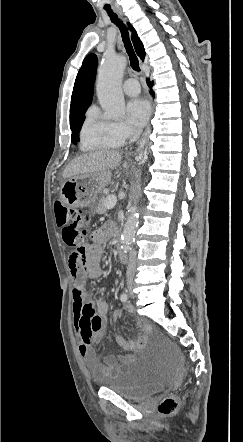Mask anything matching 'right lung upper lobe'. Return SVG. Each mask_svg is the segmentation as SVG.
<instances>
[{"instance_id":"obj_1","label":"right lung upper lobe","mask_w":243,"mask_h":442,"mask_svg":"<svg viewBox=\"0 0 243 442\" xmlns=\"http://www.w3.org/2000/svg\"><path fill=\"white\" fill-rule=\"evenodd\" d=\"M132 41L135 50L143 61L145 58V50L141 40L139 39L135 29L128 23ZM97 69V57L95 54H89L83 61L82 66L77 74L70 105V124L74 123L91 104L93 96V86ZM83 118V117H82Z\"/></svg>"}]
</instances>
